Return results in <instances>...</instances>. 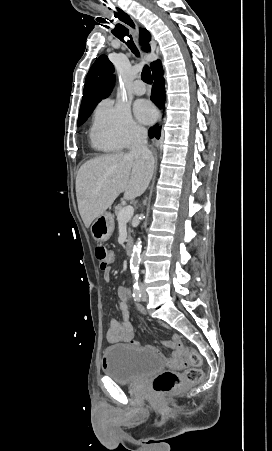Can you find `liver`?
I'll return each instance as SVG.
<instances>
[{
    "mask_svg": "<svg viewBox=\"0 0 272 451\" xmlns=\"http://www.w3.org/2000/svg\"><path fill=\"white\" fill-rule=\"evenodd\" d=\"M153 160L131 154H104L81 166L76 178L78 210L86 227L112 206L119 194L125 200L142 196L153 176Z\"/></svg>",
    "mask_w": 272,
    "mask_h": 451,
    "instance_id": "1",
    "label": "liver"
}]
</instances>
